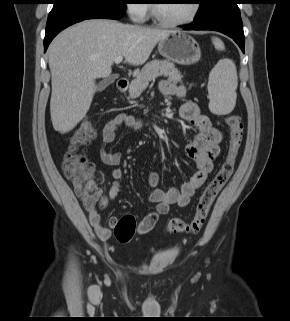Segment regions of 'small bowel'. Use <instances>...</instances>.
Wrapping results in <instances>:
<instances>
[{
    "label": "small bowel",
    "mask_w": 290,
    "mask_h": 321,
    "mask_svg": "<svg viewBox=\"0 0 290 321\" xmlns=\"http://www.w3.org/2000/svg\"><path fill=\"white\" fill-rule=\"evenodd\" d=\"M160 91L166 97L174 96L179 99H183L187 93L184 85H176L170 80L161 82ZM179 114L180 117L189 122L196 131L193 140L185 147V154L195 162L197 171L191 179L184 182L180 188H171L167 191L158 187V173L153 172L149 175L148 185L151 188L149 200L154 203L156 207L140 222L138 226L139 233L150 231L160 217L169 211L172 204L186 206L195 190L201 187L207 180L212 172L214 161L221 153L222 133L213 126L208 117L200 112L198 105L194 101H183L179 109ZM120 126L139 130L142 124L133 115L120 113L110 119L101 130L100 136L103 145L99 153L100 159L104 164L114 166V169L111 172L112 183L109 189L107 191L100 189L99 209H104L109 201L116 199L121 190L123 172L118 165L121 162L122 156L119 152H110L108 150V146L114 142L116 131ZM98 208L95 206L89 209L86 208L89 221L97 236L101 240H108L111 237V229L117 223V218L111 217L109 219V225H104Z\"/></svg>",
    "instance_id": "obj_1"
}]
</instances>
